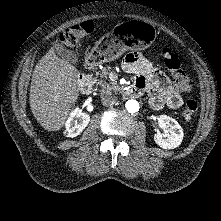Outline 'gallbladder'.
Returning <instances> with one entry per match:
<instances>
[{"instance_id": "1", "label": "gallbladder", "mask_w": 221, "mask_h": 221, "mask_svg": "<svg viewBox=\"0 0 221 221\" xmlns=\"http://www.w3.org/2000/svg\"><path fill=\"white\" fill-rule=\"evenodd\" d=\"M54 48L56 53L66 61L72 64H76L78 62V55L73 50H70L59 43L55 44Z\"/></svg>"}]
</instances>
